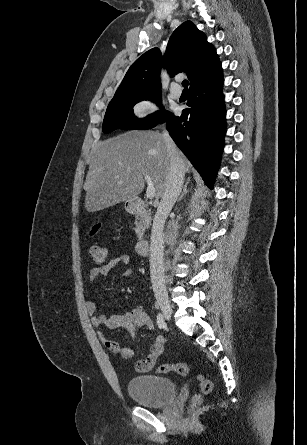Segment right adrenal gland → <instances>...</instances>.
I'll list each match as a JSON object with an SVG mask.
<instances>
[{
    "instance_id": "right-adrenal-gland-1",
    "label": "right adrenal gland",
    "mask_w": 307,
    "mask_h": 445,
    "mask_svg": "<svg viewBox=\"0 0 307 445\" xmlns=\"http://www.w3.org/2000/svg\"><path fill=\"white\" fill-rule=\"evenodd\" d=\"M190 178H191V176H188V178L184 184L183 192H182V194H180L179 198H177V202H179V200H182V198H183L184 194H186V192H189V188H187V186L190 182Z\"/></svg>"
}]
</instances>
